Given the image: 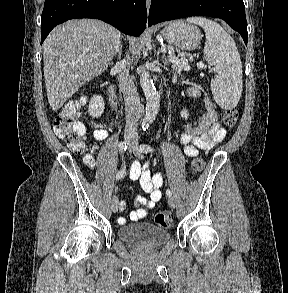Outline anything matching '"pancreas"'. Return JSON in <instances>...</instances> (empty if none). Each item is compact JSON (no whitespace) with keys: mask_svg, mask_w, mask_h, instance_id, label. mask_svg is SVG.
<instances>
[{"mask_svg":"<svg viewBox=\"0 0 288 293\" xmlns=\"http://www.w3.org/2000/svg\"><path fill=\"white\" fill-rule=\"evenodd\" d=\"M172 68L178 74H180L181 71L183 70L182 68H180V67H178L177 65H174V64H173Z\"/></svg>","mask_w":288,"mask_h":293,"instance_id":"obj_1","label":"pancreas"}]
</instances>
